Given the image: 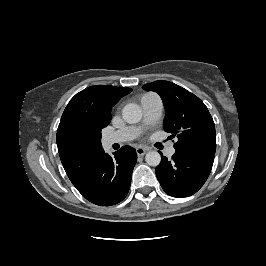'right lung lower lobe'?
<instances>
[{"label":"right lung lower lobe","instance_id":"right-lung-lower-lobe-1","mask_svg":"<svg viewBox=\"0 0 266 266\" xmlns=\"http://www.w3.org/2000/svg\"><path fill=\"white\" fill-rule=\"evenodd\" d=\"M137 161L134 148L124 146L112 158L105 152L87 178L77 190L88 201L111 206L122 201L130 188L133 168Z\"/></svg>","mask_w":266,"mask_h":266}]
</instances>
